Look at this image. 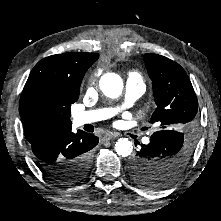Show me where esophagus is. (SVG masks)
Returning <instances> with one entry per match:
<instances>
[{
	"label": "esophagus",
	"instance_id": "1",
	"mask_svg": "<svg viewBox=\"0 0 221 221\" xmlns=\"http://www.w3.org/2000/svg\"><path fill=\"white\" fill-rule=\"evenodd\" d=\"M118 136L119 135L116 133H109L103 136L102 141H109V140L117 138Z\"/></svg>",
	"mask_w": 221,
	"mask_h": 221
}]
</instances>
